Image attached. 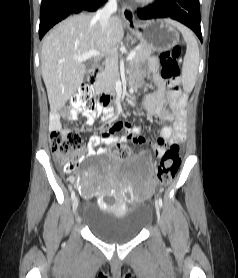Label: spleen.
I'll return each mask as SVG.
<instances>
[{"label":"spleen","instance_id":"1","mask_svg":"<svg viewBox=\"0 0 238 278\" xmlns=\"http://www.w3.org/2000/svg\"><path fill=\"white\" fill-rule=\"evenodd\" d=\"M183 35L187 49L182 65V84L186 93H190L195 85L199 66V48L193 32L176 21L167 19Z\"/></svg>","mask_w":238,"mask_h":278}]
</instances>
